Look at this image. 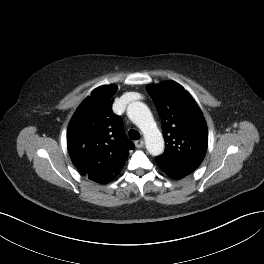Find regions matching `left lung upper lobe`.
I'll list each match as a JSON object with an SVG mask.
<instances>
[{
  "label": "left lung upper lobe",
  "instance_id": "obj_1",
  "mask_svg": "<svg viewBox=\"0 0 264 264\" xmlns=\"http://www.w3.org/2000/svg\"><path fill=\"white\" fill-rule=\"evenodd\" d=\"M162 119L165 151L156 161L173 168L194 171L203 161L208 131L197 103L176 82L167 81L147 88Z\"/></svg>",
  "mask_w": 264,
  "mask_h": 264
}]
</instances>
